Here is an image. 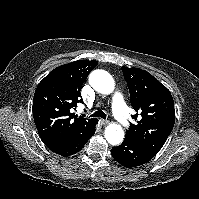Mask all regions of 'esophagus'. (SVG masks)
<instances>
[{
  "mask_svg": "<svg viewBox=\"0 0 199 199\" xmlns=\"http://www.w3.org/2000/svg\"><path fill=\"white\" fill-rule=\"evenodd\" d=\"M100 124H101L102 126H106V125L109 124V121L100 119Z\"/></svg>",
  "mask_w": 199,
  "mask_h": 199,
  "instance_id": "obj_1",
  "label": "esophagus"
}]
</instances>
